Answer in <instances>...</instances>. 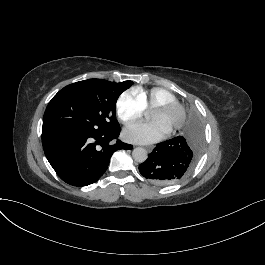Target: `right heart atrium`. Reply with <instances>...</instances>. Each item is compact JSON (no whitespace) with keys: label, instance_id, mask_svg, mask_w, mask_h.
<instances>
[{"label":"right heart atrium","instance_id":"right-heart-atrium-1","mask_svg":"<svg viewBox=\"0 0 265 265\" xmlns=\"http://www.w3.org/2000/svg\"><path fill=\"white\" fill-rule=\"evenodd\" d=\"M145 110L143 102L133 91L125 92L117 103L118 116L126 124L139 120Z\"/></svg>","mask_w":265,"mask_h":265}]
</instances>
